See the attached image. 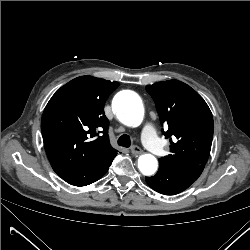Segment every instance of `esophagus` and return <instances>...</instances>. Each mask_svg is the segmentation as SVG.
Returning a JSON list of instances; mask_svg holds the SVG:
<instances>
[{
  "instance_id": "34e87169",
  "label": "esophagus",
  "mask_w": 250,
  "mask_h": 250,
  "mask_svg": "<svg viewBox=\"0 0 250 250\" xmlns=\"http://www.w3.org/2000/svg\"><path fill=\"white\" fill-rule=\"evenodd\" d=\"M131 153L133 155H140L142 153V149L135 145L131 148Z\"/></svg>"
}]
</instances>
